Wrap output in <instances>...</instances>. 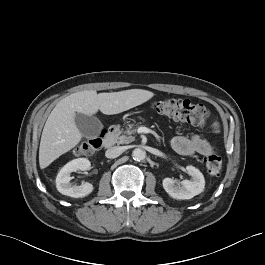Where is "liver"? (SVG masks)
I'll use <instances>...</instances> for the list:
<instances>
[{
    "label": "liver",
    "instance_id": "liver-1",
    "mask_svg": "<svg viewBox=\"0 0 265 265\" xmlns=\"http://www.w3.org/2000/svg\"><path fill=\"white\" fill-rule=\"evenodd\" d=\"M153 96L154 93L147 90L130 89L99 94L95 90H86L65 97L56 104L45 123L39 147L40 168L48 167L81 141L82 134L75 124L76 113L92 116L100 110L106 115L118 114Z\"/></svg>",
    "mask_w": 265,
    "mask_h": 265
}]
</instances>
